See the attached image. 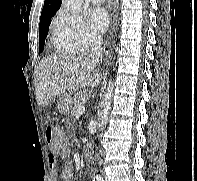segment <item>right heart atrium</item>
<instances>
[{
    "mask_svg": "<svg viewBox=\"0 0 197 181\" xmlns=\"http://www.w3.org/2000/svg\"><path fill=\"white\" fill-rule=\"evenodd\" d=\"M55 22L77 52L85 53L100 41L99 35L89 27L82 15L72 14L62 9Z\"/></svg>",
    "mask_w": 197,
    "mask_h": 181,
    "instance_id": "d8ad5b80",
    "label": "right heart atrium"
}]
</instances>
